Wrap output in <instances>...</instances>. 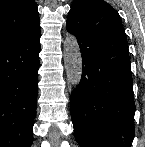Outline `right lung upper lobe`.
I'll use <instances>...</instances> for the list:
<instances>
[{
  "mask_svg": "<svg viewBox=\"0 0 145 147\" xmlns=\"http://www.w3.org/2000/svg\"><path fill=\"white\" fill-rule=\"evenodd\" d=\"M38 28L34 0H0V45Z\"/></svg>",
  "mask_w": 145,
  "mask_h": 147,
  "instance_id": "cb5924a9",
  "label": "right lung upper lobe"
}]
</instances>
